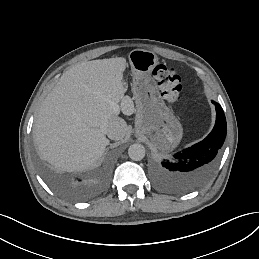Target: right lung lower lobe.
Segmentation results:
<instances>
[{
	"label": "right lung lower lobe",
	"instance_id": "right-lung-lower-lobe-1",
	"mask_svg": "<svg viewBox=\"0 0 259 259\" xmlns=\"http://www.w3.org/2000/svg\"><path fill=\"white\" fill-rule=\"evenodd\" d=\"M81 181H82L81 179H78V183L81 182ZM81 187H85V186L82 185Z\"/></svg>",
	"mask_w": 259,
	"mask_h": 259
}]
</instances>
